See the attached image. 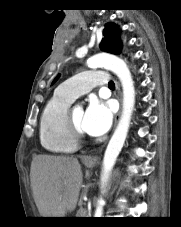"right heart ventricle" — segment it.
Returning a JSON list of instances; mask_svg holds the SVG:
<instances>
[{
    "instance_id": "right-heart-ventricle-1",
    "label": "right heart ventricle",
    "mask_w": 181,
    "mask_h": 227,
    "mask_svg": "<svg viewBox=\"0 0 181 227\" xmlns=\"http://www.w3.org/2000/svg\"><path fill=\"white\" fill-rule=\"evenodd\" d=\"M71 103L70 99L55 92L41 113L40 142L42 147L51 153H72L78 147L66 123V115Z\"/></svg>"
}]
</instances>
